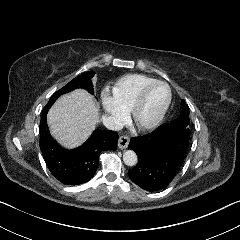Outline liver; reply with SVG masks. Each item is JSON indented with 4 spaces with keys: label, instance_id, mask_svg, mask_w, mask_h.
<instances>
[{
    "label": "liver",
    "instance_id": "1",
    "mask_svg": "<svg viewBox=\"0 0 240 240\" xmlns=\"http://www.w3.org/2000/svg\"><path fill=\"white\" fill-rule=\"evenodd\" d=\"M101 107L94 95L78 87L60 95L47 112V127L52 138L66 151L83 146L96 130Z\"/></svg>",
    "mask_w": 240,
    "mask_h": 240
}]
</instances>
